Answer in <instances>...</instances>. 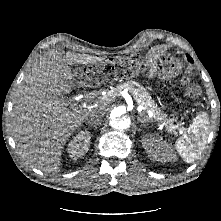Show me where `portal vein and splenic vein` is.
Wrapping results in <instances>:
<instances>
[{"instance_id":"portal-vein-and-splenic-vein-1","label":"portal vein and splenic vein","mask_w":221,"mask_h":221,"mask_svg":"<svg viewBox=\"0 0 221 221\" xmlns=\"http://www.w3.org/2000/svg\"><path fill=\"white\" fill-rule=\"evenodd\" d=\"M136 102L139 104V106H138V111H142V110H145V109H146L144 106H142V105L140 104V101H139V100H136ZM148 115H149L150 118H152V117H153L152 111L148 110ZM163 125H164V124H163ZM176 128H177V126H176ZM178 130H179V132H180L181 134L185 131L184 128H178Z\"/></svg>"}]
</instances>
